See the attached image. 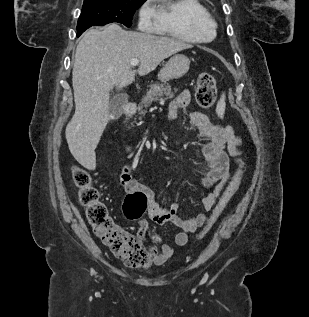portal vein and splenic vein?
Returning a JSON list of instances; mask_svg holds the SVG:
<instances>
[{"label":"portal vein and splenic vein","instance_id":"obj_1","mask_svg":"<svg viewBox=\"0 0 309 317\" xmlns=\"http://www.w3.org/2000/svg\"><path fill=\"white\" fill-rule=\"evenodd\" d=\"M139 60L138 59H132L131 61H130V64H131V66H137L138 64H139Z\"/></svg>","mask_w":309,"mask_h":317}]
</instances>
